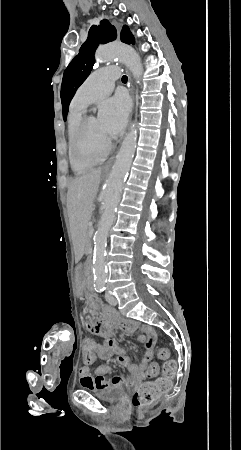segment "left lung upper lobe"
<instances>
[{"mask_svg": "<svg viewBox=\"0 0 241 450\" xmlns=\"http://www.w3.org/2000/svg\"><path fill=\"white\" fill-rule=\"evenodd\" d=\"M117 37L116 29L108 20H102L99 26H91L87 41L82 44L79 53L66 68L62 86L61 102L63 118L66 120L68 106L78 87L85 81L94 65V53L100 42L107 43ZM120 39L126 44H134V37L125 25L120 32Z\"/></svg>", "mask_w": 241, "mask_h": 450, "instance_id": "obj_1", "label": "left lung upper lobe"}]
</instances>
